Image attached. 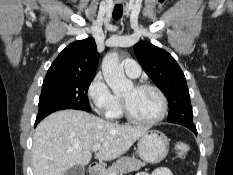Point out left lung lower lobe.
<instances>
[{
    "label": "left lung lower lobe",
    "mask_w": 233,
    "mask_h": 175,
    "mask_svg": "<svg viewBox=\"0 0 233 175\" xmlns=\"http://www.w3.org/2000/svg\"><path fill=\"white\" fill-rule=\"evenodd\" d=\"M180 125L187 127L197 136V130H196V126L194 124H180Z\"/></svg>",
    "instance_id": "obj_1"
}]
</instances>
